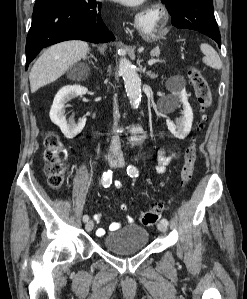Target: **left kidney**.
Wrapping results in <instances>:
<instances>
[{
    "mask_svg": "<svg viewBox=\"0 0 247 299\" xmlns=\"http://www.w3.org/2000/svg\"><path fill=\"white\" fill-rule=\"evenodd\" d=\"M174 105L176 107L183 105V116L171 121L166 120L169 131L178 139H184L188 136L192 128L193 112L188 103V94L184 90L177 91L173 97Z\"/></svg>",
    "mask_w": 247,
    "mask_h": 299,
    "instance_id": "1",
    "label": "left kidney"
}]
</instances>
